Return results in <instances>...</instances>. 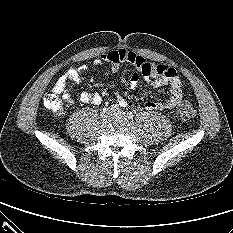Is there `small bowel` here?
<instances>
[{"label": "small bowel", "mask_w": 233, "mask_h": 233, "mask_svg": "<svg viewBox=\"0 0 233 233\" xmlns=\"http://www.w3.org/2000/svg\"><path fill=\"white\" fill-rule=\"evenodd\" d=\"M102 63H110L114 69H117L122 63H129L134 67V72L129 78V86L135 89L141 79H144L153 87L170 86V93L167 99L159 101H147L145 108L152 111L170 110L176 107L182 100V82L177 71L164 64H154L148 62L144 57L126 49L109 51L94 60L93 65L98 66ZM87 66L71 67L57 80L54 89L60 93L64 92L69 99L68 88H74L86 78ZM80 100L83 103L99 105L102 103V96L97 93L83 91L80 94ZM120 106H125L126 101L123 98L118 99Z\"/></svg>", "instance_id": "1"}]
</instances>
